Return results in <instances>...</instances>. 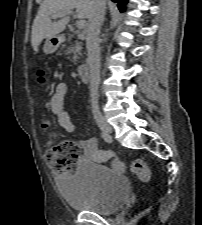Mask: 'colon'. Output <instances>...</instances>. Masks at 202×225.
<instances>
[{"label":"colon","mask_w":202,"mask_h":225,"mask_svg":"<svg viewBox=\"0 0 202 225\" xmlns=\"http://www.w3.org/2000/svg\"><path fill=\"white\" fill-rule=\"evenodd\" d=\"M39 81L42 82L44 71L38 73ZM42 127L48 129L51 127L50 122H44ZM80 158V150L76 143L64 141L54 146H50L46 150V159L48 166L55 172L57 176L69 177L73 174L77 166V161ZM106 159H110L114 169L118 171L124 170V163L113 154L105 155ZM131 172L137 176L140 181L146 182L150 179L151 172L149 165L144 159L137 158L131 163Z\"/></svg>","instance_id":"5ec220e1"}]
</instances>
